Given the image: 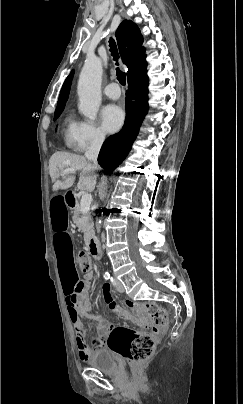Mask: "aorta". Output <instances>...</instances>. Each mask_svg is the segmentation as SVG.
<instances>
[{
    "instance_id": "obj_1",
    "label": "aorta",
    "mask_w": 243,
    "mask_h": 404,
    "mask_svg": "<svg viewBox=\"0 0 243 404\" xmlns=\"http://www.w3.org/2000/svg\"><path fill=\"white\" fill-rule=\"evenodd\" d=\"M102 62L96 56H87L78 82L79 112L89 120H96L101 106ZM101 220L97 230H101Z\"/></svg>"
}]
</instances>
